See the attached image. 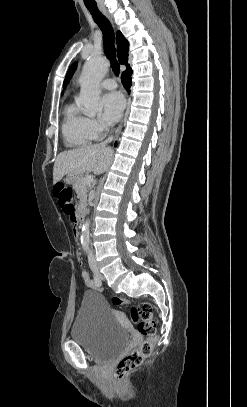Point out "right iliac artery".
Returning a JSON list of instances; mask_svg holds the SVG:
<instances>
[{
  "instance_id": "obj_1",
  "label": "right iliac artery",
  "mask_w": 247,
  "mask_h": 407,
  "mask_svg": "<svg viewBox=\"0 0 247 407\" xmlns=\"http://www.w3.org/2000/svg\"><path fill=\"white\" fill-rule=\"evenodd\" d=\"M93 280H94V284L96 287H101L102 282L101 280L98 278V276H96L95 274L93 275Z\"/></svg>"
}]
</instances>
